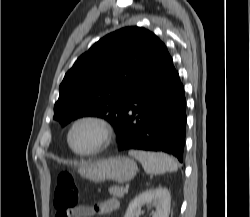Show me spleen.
Wrapping results in <instances>:
<instances>
[{"instance_id":"1","label":"spleen","mask_w":250,"mask_h":217,"mask_svg":"<svg viewBox=\"0 0 250 217\" xmlns=\"http://www.w3.org/2000/svg\"><path fill=\"white\" fill-rule=\"evenodd\" d=\"M129 155L139 160L149 174H163L178 169L176 160L165 153L131 150Z\"/></svg>"}]
</instances>
